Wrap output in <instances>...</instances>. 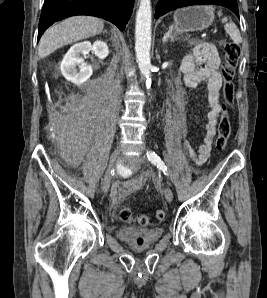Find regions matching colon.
<instances>
[{"mask_svg":"<svg viewBox=\"0 0 267 298\" xmlns=\"http://www.w3.org/2000/svg\"><path fill=\"white\" fill-rule=\"evenodd\" d=\"M222 45L225 55V61L222 67V75L224 78L223 92L226 104H232L234 95L232 79L235 74V69L239 61L241 51L239 45L234 42H223ZM226 104L223 105V113L218 125V134L216 139V147L218 150L225 149L231 134V123L227 112ZM119 218L122 222L129 224L134 223L141 226H145L149 223L148 216H135L132 210L128 207H124L119 211ZM155 218L158 221L164 220L165 211L161 209L157 210L155 212Z\"/></svg>","mask_w":267,"mask_h":298,"instance_id":"1","label":"colon"}]
</instances>
